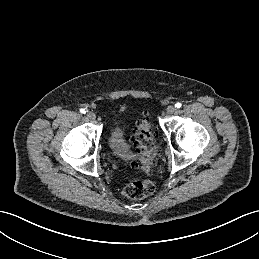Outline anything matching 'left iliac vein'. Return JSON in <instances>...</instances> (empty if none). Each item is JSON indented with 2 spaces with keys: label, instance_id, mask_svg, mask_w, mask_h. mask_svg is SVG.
Segmentation results:
<instances>
[{
  "label": "left iliac vein",
  "instance_id": "left-iliac-vein-1",
  "mask_svg": "<svg viewBox=\"0 0 259 259\" xmlns=\"http://www.w3.org/2000/svg\"><path fill=\"white\" fill-rule=\"evenodd\" d=\"M175 112V107L174 106H169L168 108H167V114L168 115H171V114H173Z\"/></svg>",
  "mask_w": 259,
  "mask_h": 259
}]
</instances>
